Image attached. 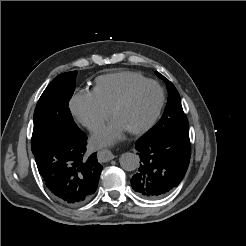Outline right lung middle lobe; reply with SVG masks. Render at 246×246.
<instances>
[{"label": "right lung middle lobe", "instance_id": "obj_1", "mask_svg": "<svg viewBox=\"0 0 246 246\" xmlns=\"http://www.w3.org/2000/svg\"><path fill=\"white\" fill-rule=\"evenodd\" d=\"M77 71L55 77L41 95L34 112V128L31 139L32 151L59 133L76 130L69 101L75 89Z\"/></svg>", "mask_w": 246, "mask_h": 246}]
</instances>
